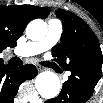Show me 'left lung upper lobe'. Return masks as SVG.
Segmentation results:
<instances>
[{"label":"left lung upper lobe","mask_w":103,"mask_h":103,"mask_svg":"<svg viewBox=\"0 0 103 103\" xmlns=\"http://www.w3.org/2000/svg\"><path fill=\"white\" fill-rule=\"evenodd\" d=\"M63 34L60 43L52 49L54 60L65 70L93 62L103 63L99 41L90 27L77 15L58 9Z\"/></svg>","instance_id":"obj_1"}]
</instances>
